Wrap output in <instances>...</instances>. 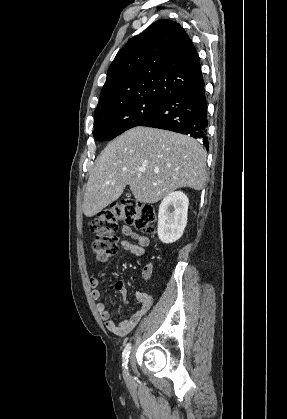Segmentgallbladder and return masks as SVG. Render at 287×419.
Returning <instances> with one entry per match:
<instances>
[{
	"mask_svg": "<svg viewBox=\"0 0 287 419\" xmlns=\"http://www.w3.org/2000/svg\"><path fill=\"white\" fill-rule=\"evenodd\" d=\"M126 195H127V196H130V194H129V193H127Z\"/></svg>",
	"mask_w": 287,
	"mask_h": 419,
	"instance_id": "gallbladder-1",
	"label": "gallbladder"
}]
</instances>
